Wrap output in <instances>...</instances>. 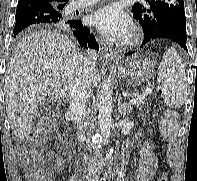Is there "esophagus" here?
Returning a JSON list of instances; mask_svg holds the SVG:
<instances>
[{
  "label": "esophagus",
  "instance_id": "esophagus-1",
  "mask_svg": "<svg viewBox=\"0 0 197 181\" xmlns=\"http://www.w3.org/2000/svg\"><path fill=\"white\" fill-rule=\"evenodd\" d=\"M102 53L104 55V60L106 62H109V63L112 64L117 59L116 52L110 46H108L105 43L102 45Z\"/></svg>",
  "mask_w": 197,
  "mask_h": 181
}]
</instances>
